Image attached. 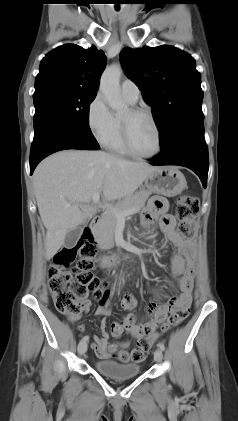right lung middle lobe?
<instances>
[{
    "label": "right lung middle lobe",
    "mask_w": 238,
    "mask_h": 421,
    "mask_svg": "<svg viewBox=\"0 0 238 421\" xmlns=\"http://www.w3.org/2000/svg\"><path fill=\"white\" fill-rule=\"evenodd\" d=\"M96 92L58 85L35 88L34 129L45 119H56L84 137L96 141L89 127V105Z\"/></svg>",
    "instance_id": "right-lung-middle-lobe-1"
}]
</instances>
